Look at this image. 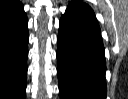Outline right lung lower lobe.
I'll list each match as a JSON object with an SVG mask.
<instances>
[{
  "label": "right lung lower lobe",
  "mask_w": 128,
  "mask_h": 99,
  "mask_svg": "<svg viewBox=\"0 0 128 99\" xmlns=\"http://www.w3.org/2000/svg\"><path fill=\"white\" fill-rule=\"evenodd\" d=\"M27 25L22 4L0 17V99H25Z\"/></svg>",
  "instance_id": "1"
}]
</instances>
